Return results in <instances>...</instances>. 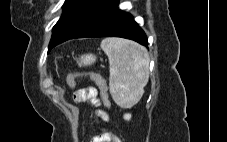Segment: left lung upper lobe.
<instances>
[{
  "label": "left lung upper lobe",
  "mask_w": 227,
  "mask_h": 142,
  "mask_svg": "<svg viewBox=\"0 0 227 142\" xmlns=\"http://www.w3.org/2000/svg\"><path fill=\"white\" fill-rule=\"evenodd\" d=\"M110 2L111 0H66L63 14L53 27L48 49L70 39Z\"/></svg>",
  "instance_id": "5c2ea615"
}]
</instances>
